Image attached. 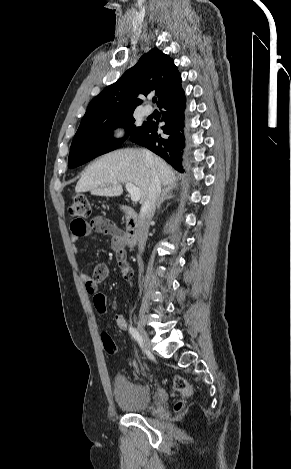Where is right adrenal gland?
Wrapping results in <instances>:
<instances>
[{
    "label": "right adrenal gland",
    "mask_w": 291,
    "mask_h": 469,
    "mask_svg": "<svg viewBox=\"0 0 291 469\" xmlns=\"http://www.w3.org/2000/svg\"><path fill=\"white\" fill-rule=\"evenodd\" d=\"M175 188H176L175 185H168L163 188L161 196L159 197V200L157 202V209L160 208V205L164 200L171 199L174 197L172 195V190Z\"/></svg>",
    "instance_id": "obj_1"
}]
</instances>
